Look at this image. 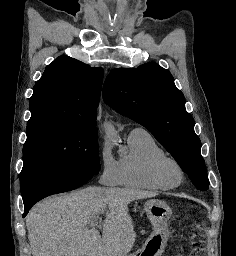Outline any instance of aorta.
<instances>
[{"label": "aorta", "mask_w": 236, "mask_h": 256, "mask_svg": "<svg viewBox=\"0 0 236 256\" xmlns=\"http://www.w3.org/2000/svg\"><path fill=\"white\" fill-rule=\"evenodd\" d=\"M104 127H105V134H106V137L110 140H114L115 139V129H114V126L112 125L111 122H106L104 124Z\"/></svg>", "instance_id": "762f6f07"}]
</instances>
